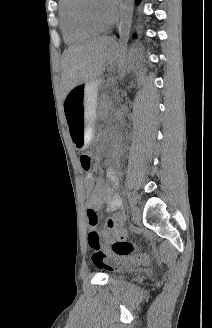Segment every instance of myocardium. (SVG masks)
<instances>
[{
  "mask_svg": "<svg viewBox=\"0 0 212 328\" xmlns=\"http://www.w3.org/2000/svg\"><path fill=\"white\" fill-rule=\"evenodd\" d=\"M89 2L90 0H78V4L76 5V9H75V15L79 23L87 28L99 32L111 27L117 18L116 10H113V15L108 22L99 23L91 16L89 12V8H88Z\"/></svg>",
  "mask_w": 212,
  "mask_h": 328,
  "instance_id": "1",
  "label": "myocardium"
}]
</instances>
